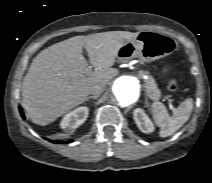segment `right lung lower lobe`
<instances>
[{
    "label": "right lung lower lobe",
    "mask_w": 212,
    "mask_h": 183,
    "mask_svg": "<svg viewBox=\"0 0 212 183\" xmlns=\"http://www.w3.org/2000/svg\"><path fill=\"white\" fill-rule=\"evenodd\" d=\"M20 113H21V116L22 117H24V114H23V112L22 111H20ZM71 142V141H70ZM55 143H62L61 141H57V142H55Z\"/></svg>",
    "instance_id": "98d812e1"
}]
</instances>
